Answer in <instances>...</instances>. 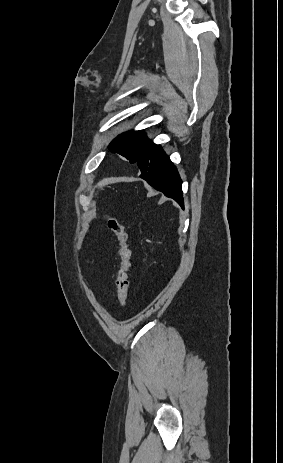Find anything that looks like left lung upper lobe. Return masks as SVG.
Instances as JSON below:
<instances>
[{
  "label": "left lung upper lobe",
  "mask_w": 283,
  "mask_h": 463,
  "mask_svg": "<svg viewBox=\"0 0 283 463\" xmlns=\"http://www.w3.org/2000/svg\"><path fill=\"white\" fill-rule=\"evenodd\" d=\"M151 144L152 142L146 138L144 131H129L115 138L108 148L124 156L130 163H136Z\"/></svg>",
  "instance_id": "1"
}]
</instances>
